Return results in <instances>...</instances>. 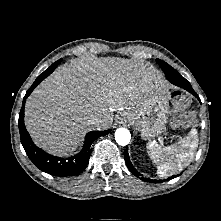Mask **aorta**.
Wrapping results in <instances>:
<instances>
[{
    "instance_id": "762f6f07",
    "label": "aorta",
    "mask_w": 221,
    "mask_h": 221,
    "mask_svg": "<svg viewBox=\"0 0 221 221\" xmlns=\"http://www.w3.org/2000/svg\"><path fill=\"white\" fill-rule=\"evenodd\" d=\"M131 134L126 128H118L115 131V140L121 146H126L130 142Z\"/></svg>"
}]
</instances>
